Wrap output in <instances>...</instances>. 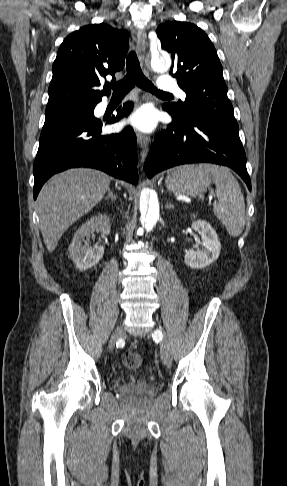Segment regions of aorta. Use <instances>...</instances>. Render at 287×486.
<instances>
[{
	"label": "aorta",
	"mask_w": 287,
	"mask_h": 486,
	"mask_svg": "<svg viewBox=\"0 0 287 486\" xmlns=\"http://www.w3.org/2000/svg\"><path fill=\"white\" fill-rule=\"evenodd\" d=\"M171 59L169 55H161L158 52L151 55V67L155 71H160L170 67ZM141 223L146 232H150L159 219V202L157 194L150 191L148 197L141 194L140 197Z\"/></svg>",
	"instance_id": "762f6f07"
}]
</instances>
